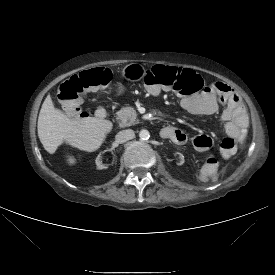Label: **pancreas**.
<instances>
[{
  "label": "pancreas",
  "mask_w": 275,
  "mask_h": 275,
  "mask_svg": "<svg viewBox=\"0 0 275 275\" xmlns=\"http://www.w3.org/2000/svg\"><path fill=\"white\" fill-rule=\"evenodd\" d=\"M116 114L120 127H127L138 123L136 110L131 106L121 108Z\"/></svg>",
  "instance_id": "1"
}]
</instances>
